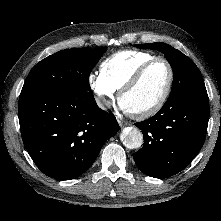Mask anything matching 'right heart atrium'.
<instances>
[{
  "label": "right heart atrium",
  "instance_id": "d8ad5b80",
  "mask_svg": "<svg viewBox=\"0 0 221 221\" xmlns=\"http://www.w3.org/2000/svg\"><path fill=\"white\" fill-rule=\"evenodd\" d=\"M88 85L96 96L97 104L101 108H106L114 99L115 90L105 80L103 75L99 72H92L88 75Z\"/></svg>",
  "mask_w": 221,
  "mask_h": 221
}]
</instances>
